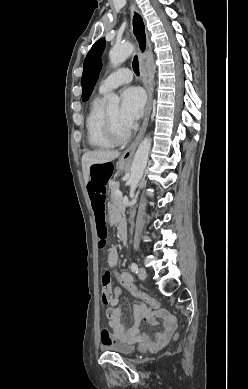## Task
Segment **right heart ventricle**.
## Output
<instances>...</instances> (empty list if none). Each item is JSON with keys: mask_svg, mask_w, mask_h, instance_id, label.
<instances>
[{"mask_svg": "<svg viewBox=\"0 0 248 389\" xmlns=\"http://www.w3.org/2000/svg\"><path fill=\"white\" fill-rule=\"evenodd\" d=\"M103 94L96 96L90 104L85 121L86 136L89 145L99 149L111 148L115 145L105 132V110L102 106Z\"/></svg>", "mask_w": 248, "mask_h": 389, "instance_id": "1", "label": "right heart ventricle"}]
</instances>
